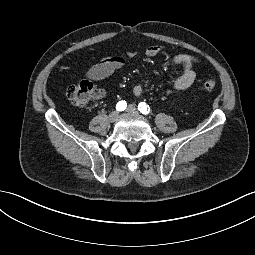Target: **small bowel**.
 <instances>
[{"mask_svg": "<svg viewBox=\"0 0 255 255\" xmlns=\"http://www.w3.org/2000/svg\"><path fill=\"white\" fill-rule=\"evenodd\" d=\"M163 50L164 48L160 45H150L145 49V54L148 57H153L162 53ZM171 62L181 68L180 74L174 80L173 88L178 91L189 88L196 78V73L193 67L194 65L200 64V59L193 55L179 52L172 57ZM124 65L125 59L122 57H106L89 68L86 72V77L94 81L102 80L122 70ZM143 92L144 89L141 84H137L133 87L134 96L141 97Z\"/></svg>", "mask_w": 255, "mask_h": 255, "instance_id": "c3829d8e", "label": "small bowel"}]
</instances>
